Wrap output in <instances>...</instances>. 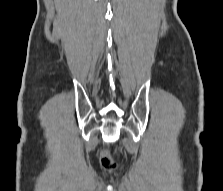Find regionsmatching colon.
<instances>
[{"mask_svg": "<svg viewBox=\"0 0 223 191\" xmlns=\"http://www.w3.org/2000/svg\"><path fill=\"white\" fill-rule=\"evenodd\" d=\"M102 164L108 170H111L115 167V164L107 157L103 158Z\"/></svg>", "mask_w": 223, "mask_h": 191, "instance_id": "5ec220e1", "label": "colon"}]
</instances>
